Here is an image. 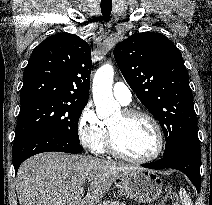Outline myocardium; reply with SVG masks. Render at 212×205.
Segmentation results:
<instances>
[{"instance_id": "f54148a6", "label": "myocardium", "mask_w": 212, "mask_h": 205, "mask_svg": "<svg viewBox=\"0 0 212 205\" xmlns=\"http://www.w3.org/2000/svg\"><path fill=\"white\" fill-rule=\"evenodd\" d=\"M122 113L127 118L142 117L151 124L155 134V148L150 154L146 156H142V157L129 156L119 149V147L116 144L112 130L110 129L109 126H107V130H108L107 148L109 152L113 154L114 156L131 163L143 164V163H148L157 159L163 151L164 138H163L161 127L158 121L155 119V117H153L148 112H145L142 110H135V109H125L122 111Z\"/></svg>"}]
</instances>
